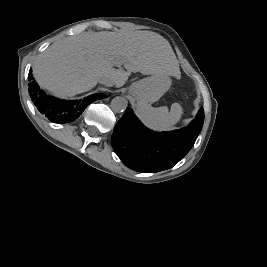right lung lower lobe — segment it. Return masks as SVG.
I'll list each match as a JSON object with an SVG mask.
<instances>
[{
    "mask_svg": "<svg viewBox=\"0 0 267 267\" xmlns=\"http://www.w3.org/2000/svg\"><path fill=\"white\" fill-rule=\"evenodd\" d=\"M32 78V71H29ZM33 79V78H32ZM30 97L40 113L50 121L56 123H68L77 119L85 108L96 100L105 98V95L95 94L81 100L66 101L46 95L38 86L36 81L29 83Z\"/></svg>",
    "mask_w": 267,
    "mask_h": 267,
    "instance_id": "98d812e1",
    "label": "right lung lower lobe"
}]
</instances>
